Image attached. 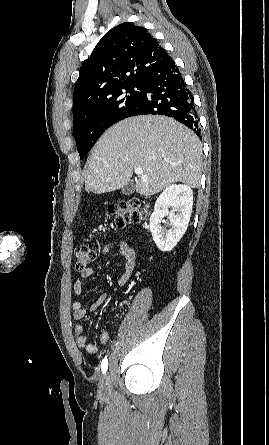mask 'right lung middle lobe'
I'll return each instance as SVG.
<instances>
[{
  "mask_svg": "<svg viewBox=\"0 0 269 445\" xmlns=\"http://www.w3.org/2000/svg\"><path fill=\"white\" fill-rule=\"evenodd\" d=\"M143 85L129 84L95 96L73 109L74 137L83 159L102 133L126 118L142 95Z\"/></svg>",
  "mask_w": 269,
  "mask_h": 445,
  "instance_id": "obj_1",
  "label": "right lung middle lobe"
}]
</instances>
